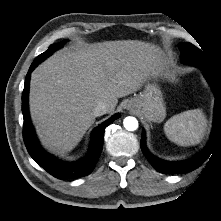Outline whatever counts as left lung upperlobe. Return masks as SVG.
I'll return each instance as SVG.
<instances>
[{
    "instance_id": "obj_1",
    "label": "left lung upper lobe",
    "mask_w": 221,
    "mask_h": 221,
    "mask_svg": "<svg viewBox=\"0 0 221 221\" xmlns=\"http://www.w3.org/2000/svg\"><path fill=\"white\" fill-rule=\"evenodd\" d=\"M180 50L182 61L195 65L200 69L208 67L209 63L205 54L194 45L190 43H181Z\"/></svg>"
}]
</instances>
